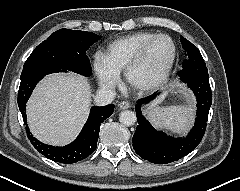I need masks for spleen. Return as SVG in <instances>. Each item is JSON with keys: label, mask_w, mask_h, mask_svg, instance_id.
Returning <instances> with one entry per match:
<instances>
[{"label": "spleen", "mask_w": 240, "mask_h": 191, "mask_svg": "<svg viewBox=\"0 0 240 191\" xmlns=\"http://www.w3.org/2000/svg\"><path fill=\"white\" fill-rule=\"evenodd\" d=\"M149 118L156 127L167 128L176 133L185 131L190 123V120L172 108H155L149 112Z\"/></svg>", "instance_id": "obj_1"}]
</instances>
